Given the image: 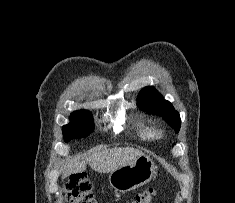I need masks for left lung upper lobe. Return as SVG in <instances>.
<instances>
[{"mask_svg":"<svg viewBox=\"0 0 235 203\" xmlns=\"http://www.w3.org/2000/svg\"><path fill=\"white\" fill-rule=\"evenodd\" d=\"M137 104L143 111L162 116L176 132H179L181 126L179 113L153 87H145L141 90L137 97Z\"/></svg>","mask_w":235,"mask_h":203,"instance_id":"5c2ea615","label":"left lung upper lobe"}]
</instances>
